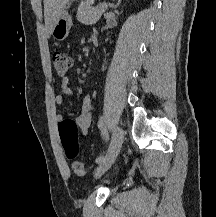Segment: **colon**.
I'll return each mask as SVG.
<instances>
[{"mask_svg":"<svg viewBox=\"0 0 216 217\" xmlns=\"http://www.w3.org/2000/svg\"><path fill=\"white\" fill-rule=\"evenodd\" d=\"M52 62L54 69L59 76L66 75L72 65L70 56L61 51L53 53ZM77 128L76 122L70 119H64L60 125V138L65 156L68 159H74L78 155ZM73 171L79 177H83L87 174V168L81 162H75L73 164Z\"/></svg>","mask_w":216,"mask_h":217,"instance_id":"1","label":"colon"}]
</instances>
